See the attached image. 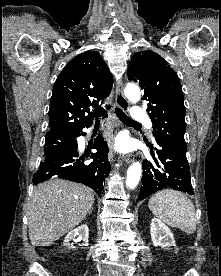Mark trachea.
<instances>
[{
	"label": "trachea",
	"mask_w": 221,
	"mask_h": 276,
	"mask_svg": "<svg viewBox=\"0 0 221 276\" xmlns=\"http://www.w3.org/2000/svg\"><path fill=\"white\" fill-rule=\"evenodd\" d=\"M110 107H107L109 109ZM116 115L118 118L124 123V124H134L138 125L139 123L136 121H133L130 117H128L120 108H115ZM96 124H99V122H96Z\"/></svg>",
	"instance_id": "trachea-1"
}]
</instances>
